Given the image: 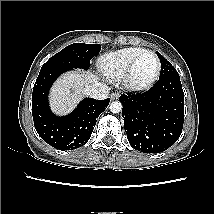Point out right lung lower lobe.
Returning a JSON list of instances; mask_svg holds the SVG:
<instances>
[{"label": "right lung lower lobe", "mask_w": 214, "mask_h": 214, "mask_svg": "<svg viewBox=\"0 0 214 214\" xmlns=\"http://www.w3.org/2000/svg\"><path fill=\"white\" fill-rule=\"evenodd\" d=\"M72 69H47L40 71L32 93V115L39 136L49 145L60 150H73L90 138L96 119L108 106L110 99L86 98L65 117L55 116L48 103V93L53 82Z\"/></svg>", "instance_id": "1"}]
</instances>
